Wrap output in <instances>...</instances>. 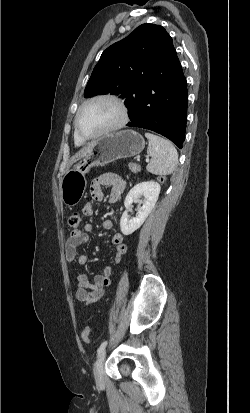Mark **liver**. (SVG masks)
Here are the masks:
<instances>
[{"mask_svg": "<svg viewBox=\"0 0 250 413\" xmlns=\"http://www.w3.org/2000/svg\"><path fill=\"white\" fill-rule=\"evenodd\" d=\"M94 143L88 144L86 147H84L82 150H80L71 160L72 163L76 162L80 158L84 157L90 150L93 148Z\"/></svg>", "mask_w": 250, "mask_h": 413, "instance_id": "1", "label": "liver"}]
</instances>
